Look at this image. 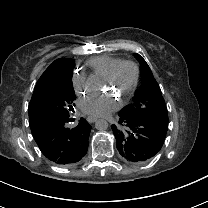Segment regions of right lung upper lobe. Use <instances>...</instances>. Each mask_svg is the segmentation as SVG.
<instances>
[{"mask_svg":"<svg viewBox=\"0 0 208 208\" xmlns=\"http://www.w3.org/2000/svg\"><path fill=\"white\" fill-rule=\"evenodd\" d=\"M68 60H70L69 58H59L57 60H55L46 70L45 72L41 75V77L39 78L36 86H35V89H34V92H33V95H32V98H31V101L34 100V98L36 97V91L38 89V87L43 83L45 82V80L47 79L48 75L54 71L56 68L62 66L63 64H65L66 62H68Z\"/></svg>","mask_w":208,"mask_h":208,"instance_id":"1","label":"right lung upper lobe"}]
</instances>
